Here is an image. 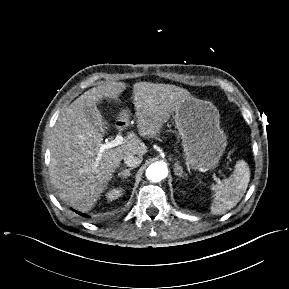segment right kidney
Masks as SVG:
<instances>
[{
	"label": "right kidney",
	"instance_id": "1",
	"mask_svg": "<svg viewBox=\"0 0 289 289\" xmlns=\"http://www.w3.org/2000/svg\"><path fill=\"white\" fill-rule=\"evenodd\" d=\"M122 192H123L122 188H113L107 192L106 197L108 198V200L112 201L120 197L122 195Z\"/></svg>",
	"mask_w": 289,
	"mask_h": 289
}]
</instances>
